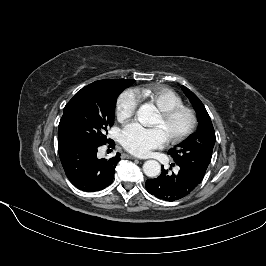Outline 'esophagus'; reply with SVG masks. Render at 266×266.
<instances>
[{"mask_svg": "<svg viewBox=\"0 0 266 266\" xmlns=\"http://www.w3.org/2000/svg\"><path fill=\"white\" fill-rule=\"evenodd\" d=\"M122 158H128V159H137L136 157L129 155V154H123Z\"/></svg>", "mask_w": 266, "mask_h": 266, "instance_id": "34e87169", "label": "esophagus"}]
</instances>
